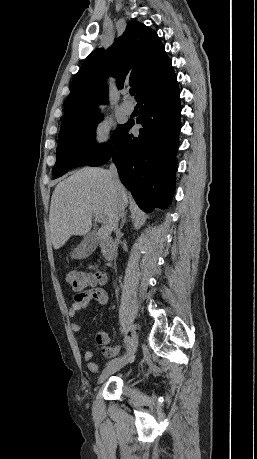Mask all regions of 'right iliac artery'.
Listing matches in <instances>:
<instances>
[{"instance_id": "1", "label": "right iliac artery", "mask_w": 257, "mask_h": 459, "mask_svg": "<svg viewBox=\"0 0 257 459\" xmlns=\"http://www.w3.org/2000/svg\"><path fill=\"white\" fill-rule=\"evenodd\" d=\"M131 341H132L131 337H129V336H125V337H124V343H125V345H126V349H127V350L129 349V347H130V345H131ZM117 360H119V357H118V358H115V359H112L111 361H109L108 365H110V364L116 362Z\"/></svg>"}]
</instances>
